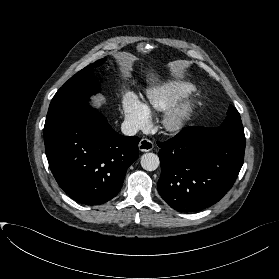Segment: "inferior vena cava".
<instances>
[{"label": "inferior vena cava", "mask_w": 279, "mask_h": 279, "mask_svg": "<svg viewBox=\"0 0 279 279\" xmlns=\"http://www.w3.org/2000/svg\"><path fill=\"white\" fill-rule=\"evenodd\" d=\"M121 131L127 136H134L138 132V126L133 121L125 120L121 125Z\"/></svg>", "instance_id": "1"}]
</instances>
